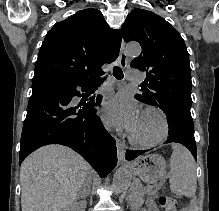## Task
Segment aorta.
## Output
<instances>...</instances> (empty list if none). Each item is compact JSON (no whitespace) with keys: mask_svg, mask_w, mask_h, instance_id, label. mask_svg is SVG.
<instances>
[{"mask_svg":"<svg viewBox=\"0 0 219 211\" xmlns=\"http://www.w3.org/2000/svg\"><path fill=\"white\" fill-rule=\"evenodd\" d=\"M125 52L129 56H138L141 53V47L137 43H131L126 46ZM130 185V173L125 168H119L113 176L112 188L116 193L125 191Z\"/></svg>","mask_w":219,"mask_h":211,"instance_id":"obj_1","label":"aorta"}]
</instances>
